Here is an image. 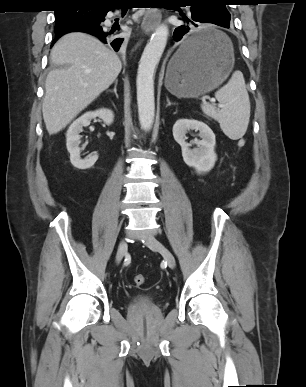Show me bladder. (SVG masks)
Returning a JSON list of instances; mask_svg holds the SVG:
<instances>
[{
  "instance_id": "obj_1",
  "label": "bladder",
  "mask_w": 306,
  "mask_h": 387,
  "mask_svg": "<svg viewBox=\"0 0 306 387\" xmlns=\"http://www.w3.org/2000/svg\"><path fill=\"white\" fill-rule=\"evenodd\" d=\"M156 299L146 293H138L131 297L129 308L131 309H152L157 307Z\"/></svg>"
}]
</instances>
